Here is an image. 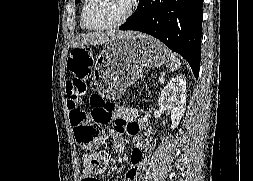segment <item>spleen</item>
Here are the masks:
<instances>
[{"mask_svg":"<svg viewBox=\"0 0 253 181\" xmlns=\"http://www.w3.org/2000/svg\"><path fill=\"white\" fill-rule=\"evenodd\" d=\"M169 58H170V62L168 65L169 69L171 71H175V70L179 69L181 66V63H180V60L176 57V55L173 54L172 52H170Z\"/></svg>","mask_w":253,"mask_h":181,"instance_id":"obj_1","label":"spleen"}]
</instances>
